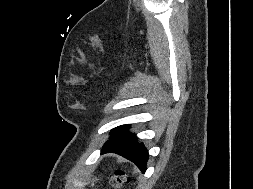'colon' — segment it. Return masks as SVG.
<instances>
[{"mask_svg":"<svg viewBox=\"0 0 253 189\" xmlns=\"http://www.w3.org/2000/svg\"><path fill=\"white\" fill-rule=\"evenodd\" d=\"M126 181V177L123 172L116 171L111 177V183L114 186H119Z\"/></svg>","mask_w":253,"mask_h":189,"instance_id":"1","label":"colon"}]
</instances>
